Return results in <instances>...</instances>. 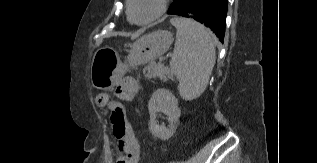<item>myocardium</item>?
Returning a JSON list of instances; mask_svg holds the SVG:
<instances>
[{"mask_svg":"<svg viewBox=\"0 0 317 163\" xmlns=\"http://www.w3.org/2000/svg\"><path fill=\"white\" fill-rule=\"evenodd\" d=\"M167 2H168V0H158V9H157L156 13L146 20L138 21V20H135L132 16L133 0H127V16L129 18V20L134 24H137V25L151 24V23L155 22L156 20H158L166 12L167 5H168Z\"/></svg>","mask_w":317,"mask_h":163,"instance_id":"myocardium-1","label":"myocardium"}]
</instances>
